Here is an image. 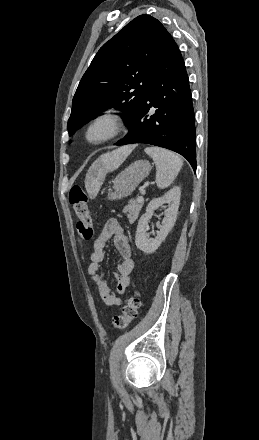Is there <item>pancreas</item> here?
Masks as SVG:
<instances>
[{
	"label": "pancreas",
	"mask_w": 259,
	"mask_h": 440,
	"mask_svg": "<svg viewBox=\"0 0 259 440\" xmlns=\"http://www.w3.org/2000/svg\"><path fill=\"white\" fill-rule=\"evenodd\" d=\"M143 204L144 201L139 202L137 199L131 200L128 205L124 207L123 212L127 215V218L130 221H133L138 216Z\"/></svg>",
	"instance_id": "obj_1"
}]
</instances>
